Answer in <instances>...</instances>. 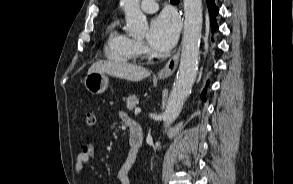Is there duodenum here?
Returning <instances> with one entry per match:
<instances>
[{
  "instance_id": "1",
  "label": "duodenum",
  "mask_w": 293,
  "mask_h": 184,
  "mask_svg": "<svg viewBox=\"0 0 293 184\" xmlns=\"http://www.w3.org/2000/svg\"><path fill=\"white\" fill-rule=\"evenodd\" d=\"M129 127V143L133 154H137L143 143V129L140 124L130 121Z\"/></svg>"
}]
</instances>
